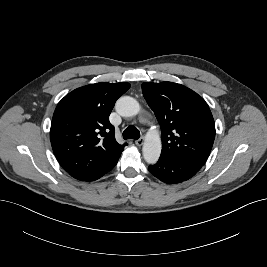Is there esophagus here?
Masks as SVG:
<instances>
[{"label": "esophagus", "mask_w": 267, "mask_h": 267, "mask_svg": "<svg viewBox=\"0 0 267 267\" xmlns=\"http://www.w3.org/2000/svg\"><path fill=\"white\" fill-rule=\"evenodd\" d=\"M135 144L137 145V146H142L143 145V139H138V140H136L135 141Z\"/></svg>", "instance_id": "1"}]
</instances>
